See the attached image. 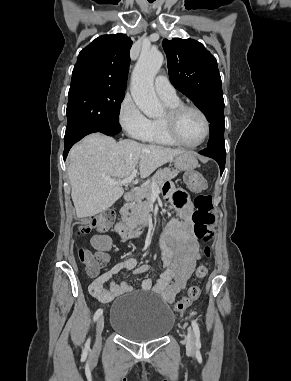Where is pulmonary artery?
Here are the masks:
<instances>
[{"label": "pulmonary artery", "instance_id": "1", "mask_svg": "<svg viewBox=\"0 0 291 381\" xmlns=\"http://www.w3.org/2000/svg\"><path fill=\"white\" fill-rule=\"evenodd\" d=\"M154 84L158 96L163 100H175L178 98L175 88L166 76H157Z\"/></svg>", "mask_w": 291, "mask_h": 381}]
</instances>
